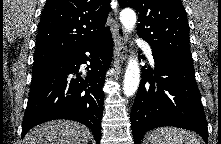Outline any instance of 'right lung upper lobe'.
<instances>
[{
	"instance_id": "obj_1",
	"label": "right lung upper lobe",
	"mask_w": 221,
	"mask_h": 144,
	"mask_svg": "<svg viewBox=\"0 0 221 144\" xmlns=\"http://www.w3.org/2000/svg\"><path fill=\"white\" fill-rule=\"evenodd\" d=\"M110 0H47L36 37L38 54L64 55L110 31Z\"/></svg>"
}]
</instances>
